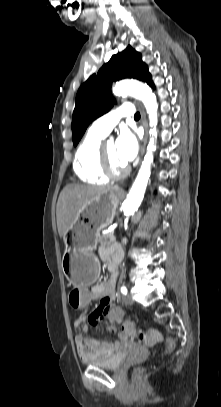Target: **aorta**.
Returning a JSON list of instances; mask_svg holds the SVG:
<instances>
[{
  "label": "aorta",
  "instance_id": "aorta-1",
  "mask_svg": "<svg viewBox=\"0 0 221 407\" xmlns=\"http://www.w3.org/2000/svg\"><path fill=\"white\" fill-rule=\"evenodd\" d=\"M113 93L116 96L132 95L141 100L149 116L150 140L147 152L139 169L138 175L122 204L124 216L127 218L134 214L139 208L151 175V164L153 162V152L156 150L155 139L157 137V110L158 104L155 94L151 88L138 81L124 80L115 84Z\"/></svg>",
  "mask_w": 221,
  "mask_h": 407
}]
</instances>
